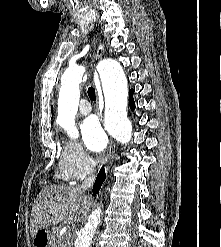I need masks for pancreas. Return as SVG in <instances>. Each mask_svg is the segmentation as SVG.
<instances>
[{
  "label": "pancreas",
  "instance_id": "1",
  "mask_svg": "<svg viewBox=\"0 0 221 247\" xmlns=\"http://www.w3.org/2000/svg\"><path fill=\"white\" fill-rule=\"evenodd\" d=\"M53 233V247H70L68 238L65 236H59V229H56Z\"/></svg>",
  "mask_w": 221,
  "mask_h": 247
}]
</instances>
